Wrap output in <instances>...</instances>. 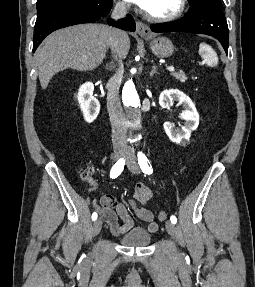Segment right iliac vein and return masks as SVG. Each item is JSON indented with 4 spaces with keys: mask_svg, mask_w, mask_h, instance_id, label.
Instances as JSON below:
<instances>
[{
    "mask_svg": "<svg viewBox=\"0 0 255 287\" xmlns=\"http://www.w3.org/2000/svg\"><path fill=\"white\" fill-rule=\"evenodd\" d=\"M124 152H125L124 148L116 147L113 151L112 159L115 161L118 160L124 154ZM101 228H102V220L101 218H98L93 223L92 230H91L92 236H96L97 234H99Z\"/></svg>",
    "mask_w": 255,
    "mask_h": 287,
    "instance_id": "obj_1",
    "label": "right iliac vein"
}]
</instances>
